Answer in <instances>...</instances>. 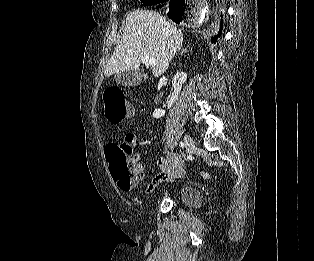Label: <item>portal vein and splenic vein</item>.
<instances>
[{"instance_id":"obj_1","label":"portal vein and splenic vein","mask_w":314,"mask_h":261,"mask_svg":"<svg viewBox=\"0 0 314 261\" xmlns=\"http://www.w3.org/2000/svg\"><path fill=\"white\" fill-rule=\"evenodd\" d=\"M141 61L146 66L154 67L156 65V60L150 56H143Z\"/></svg>"}]
</instances>
